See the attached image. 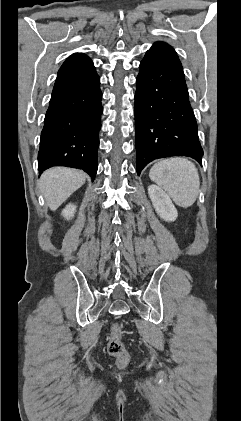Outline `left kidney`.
Listing matches in <instances>:
<instances>
[{
	"label": "left kidney",
	"mask_w": 241,
	"mask_h": 421,
	"mask_svg": "<svg viewBox=\"0 0 241 421\" xmlns=\"http://www.w3.org/2000/svg\"><path fill=\"white\" fill-rule=\"evenodd\" d=\"M148 195L160 218L168 222L176 220L178 212L170 197L160 187L150 185L148 187Z\"/></svg>",
	"instance_id": "1"
}]
</instances>
